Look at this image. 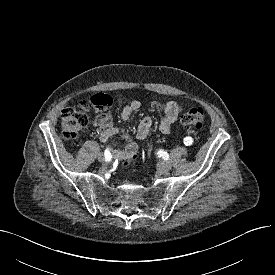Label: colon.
Here are the masks:
<instances>
[{"label":"colon","instance_id":"5ec220e1","mask_svg":"<svg viewBox=\"0 0 275 275\" xmlns=\"http://www.w3.org/2000/svg\"><path fill=\"white\" fill-rule=\"evenodd\" d=\"M112 99L103 94L92 96L77 108H67L62 111V132L65 138L75 139L88 124V111L93 109L97 113V120L106 116L107 109L111 106ZM205 122V113L202 108L193 107L181 117L184 126L201 128Z\"/></svg>","mask_w":275,"mask_h":275}]
</instances>
